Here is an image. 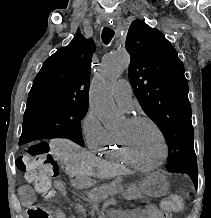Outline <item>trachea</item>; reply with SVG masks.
<instances>
[{
  "label": "trachea",
  "mask_w": 211,
  "mask_h": 218,
  "mask_svg": "<svg viewBox=\"0 0 211 218\" xmlns=\"http://www.w3.org/2000/svg\"><path fill=\"white\" fill-rule=\"evenodd\" d=\"M114 30H112L111 28H107V27H104L103 30H102V41L103 43H105V45H108L112 38L114 37Z\"/></svg>",
  "instance_id": "3493384b"
}]
</instances>
